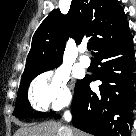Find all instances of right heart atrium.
I'll return each mask as SVG.
<instances>
[{
  "instance_id": "1",
  "label": "right heart atrium",
  "mask_w": 136,
  "mask_h": 136,
  "mask_svg": "<svg viewBox=\"0 0 136 136\" xmlns=\"http://www.w3.org/2000/svg\"><path fill=\"white\" fill-rule=\"evenodd\" d=\"M31 105L36 110H60L71 103L68 76L60 69L39 75L30 87Z\"/></svg>"
}]
</instances>
